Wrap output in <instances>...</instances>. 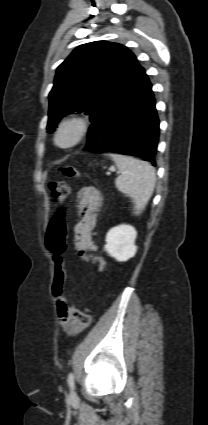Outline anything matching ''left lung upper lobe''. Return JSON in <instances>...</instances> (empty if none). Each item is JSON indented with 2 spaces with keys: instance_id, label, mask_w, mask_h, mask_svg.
Wrapping results in <instances>:
<instances>
[{
  "instance_id": "1",
  "label": "left lung upper lobe",
  "mask_w": 208,
  "mask_h": 425,
  "mask_svg": "<svg viewBox=\"0 0 208 425\" xmlns=\"http://www.w3.org/2000/svg\"><path fill=\"white\" fill-rule=\"evenodd\" d=\"M141 69L135 55L120 44L95 41L77 47L57 68L47 128L73 112H85L93 122Z\"/></svg>"
}]
</instances>
